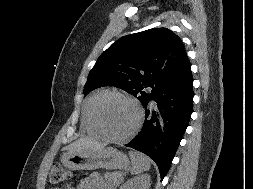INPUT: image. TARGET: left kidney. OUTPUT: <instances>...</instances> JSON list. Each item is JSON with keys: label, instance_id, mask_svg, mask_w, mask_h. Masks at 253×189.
<instances>
[{"label": "left kidney", "instance_id": "1", "mask_svg": "<svg viewBox=\"0 0 253 189\" xmlns=\"http://www.w3.org/2000/svg\"><path fill=\"white\" fill-rule=\"evenodd\" d=\"M150 176L141 175L128 180L120 189H149Z\"/></svg>", "mask_w": 253, "mask_h": 189}]
</instances>
